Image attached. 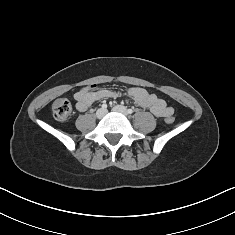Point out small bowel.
<instances>
[{
    "label": "small bowel",
    "mask_w": 235,
    "mask_h": 235,
    "mask_svg": "<svg viewBox=\"0 0 235 235\" xmlns=\"http://www.w3.org/2000/svg\"><path fill=\"white\" fill-rule=\"evenodd\" d=\"M128 97L138 106L147 108L158 118L173 115L174 109L158 98L155 94L148 93L140 87H132L127 92ZM119 93L108 89L93 90L89 87L81 88L74 94L76 109L80 112L86 111L94 103L104 99L118 96Z\"/></svg>",
    "instance_id": "obj_1"
}]
</instances>
